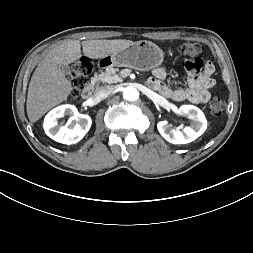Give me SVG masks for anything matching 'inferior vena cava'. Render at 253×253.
<instances>
[{
  "mask_svg": "<svg viewBox=\"0 0 253 253\" xmlns=\"http://www.w3.org/2000/svg\"><path fill=\"white\" fill-rule=\"evenodd\" d=\"M114 91V87L112 86H102L98 88L96 92V97L98 99H104L108 97Z\"/></svg>",
  "mask_w": 253,
  "mask_h": 253,
  "instance_id": "602c4592",
  "label": "inferior vena cava"
}]
</instances>
